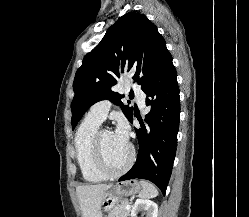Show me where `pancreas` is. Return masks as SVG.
Instances as JSON below:
<instances>
[{"mask_svg":"<svg viewBox=\"0 0 249 217\" xmlns=\"http://www.w3.org/2000/svg\"><path fill=\"white\" fill-rule=\"evenodd\" d=\"M127 204V200H122L121 203L117 204L106 217H127L130 212V210L125 209Z\"/></svg>","mask_w":249,"mask_h":217,"instance_id":"obj_1","label":"pancreas"}]
</instances>
